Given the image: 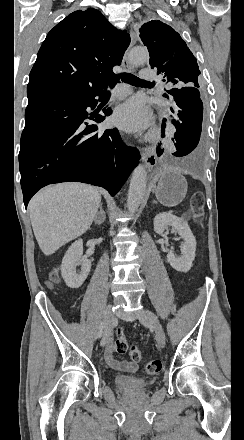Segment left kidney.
Here are the masks:
<instances>
[{
	"mask_svg": "<svg viewBox=\"0 0 244 440\" xmlns=\"http://www.w3.org/2000/svg\"><path fill=\"white\" fill-rule=\"evenodd\" d=\"M172 230L179 234L180 238H183L184 244H182V256H175L173 254V248L169 250L167 254V260L177 272H188L192 268V262L195 258L196 240L188 226V222L177 218L173 214H167V212H161L154 218V232L156 234H163L165 230Z\"/></svg>",
	"mask_w": 244,
	"mask_h": 440,
	"instance_id": "obj_1",
	"label": "left kidney"
}]
</instances>
